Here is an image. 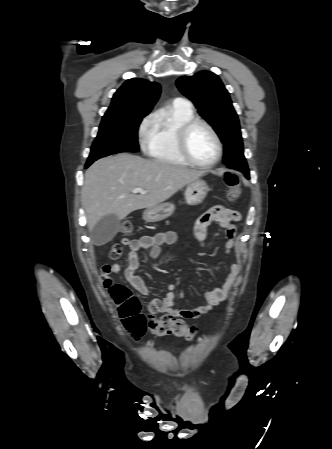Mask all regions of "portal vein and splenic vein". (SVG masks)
I'll return each instance as SVG.
<instances>
[{
  "mask_svg": "<svg viewBox=\"0 0 332 449\" xmlns=\"http://www.w3.org/2000/svg\"><path fill=\"white\" fill-rule=\"evenodd\" d=\"M132 192H133V193H140V194H146V193H147L145 190H143L142 188H139V187L134 188V189L132 190Z\"/></svg>",
  "mask_w": 332,
  "mask_h": 449,
  "instance_id": "obj_1",
  "label": "portal vein and splenic vein"
}]
</instances>
